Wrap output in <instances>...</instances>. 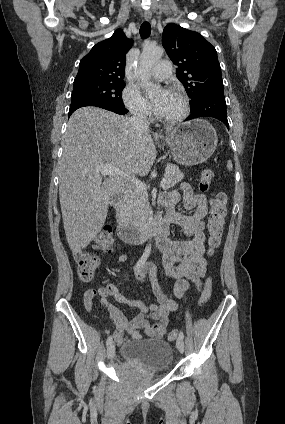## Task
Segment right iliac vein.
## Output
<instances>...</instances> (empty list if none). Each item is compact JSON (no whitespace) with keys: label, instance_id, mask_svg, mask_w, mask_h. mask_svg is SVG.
Listing matches in <instances>:
<instances>
[{"label":"right iliac vein","instance_id":"63e3f726","mask_svg":"<svg viewBox=\"0 0 285 424\" xmlns=\"http://www.w3.org/2000/svg\"><path fill=\"white\" fill-rule=\"evenodd\" d=\"M115 355V345L110 344L107 348V358L112 359Z\"/></svg>","mask_w":285,"mask_h":424}]
</instances>
